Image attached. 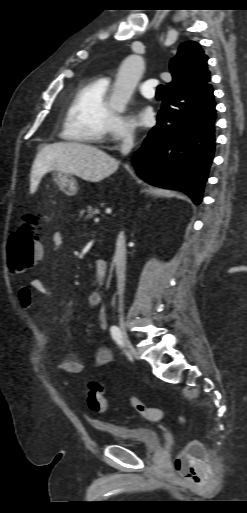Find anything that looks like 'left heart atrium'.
I'll use <instances>...</instances> for the list:
<instances>
[{"label":"left heart atrium","mask_w":247,"mask_h":513,"mask_svg":"<svg viewBox=\"0 0 247 513\" xmlns=\"http://www.w3.org/2000/svg\"><path fill=\"white\" fill-rule=\"evenodd\" d=\"M136 121L139 125L150 126L154 122V112L150 107H142L136 111Z\"/></svg>","instance_id":"left-heart-atrium-1"}]
</instances>
